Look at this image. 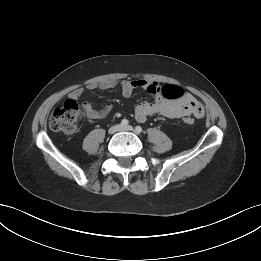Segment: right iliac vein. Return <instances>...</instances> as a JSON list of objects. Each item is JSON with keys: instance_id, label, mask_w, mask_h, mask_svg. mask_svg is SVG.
<instances>
[{"instance_id": "obj_1", "label": "right iliac vein", "mask_w": 261, "mask_h": 261, "mask_svg": "<svg viewBox=\"0 0 261 261\" xmlns=\"http://www.w3.org/2000/svg\"><path fill=\"white\" fill-rule=\"evenodd\" d=\"M120 129H121L120 125H114V126L109 128L108 132H109V134H114L117 131H120Z\"/></svg>"}]
</instances>
